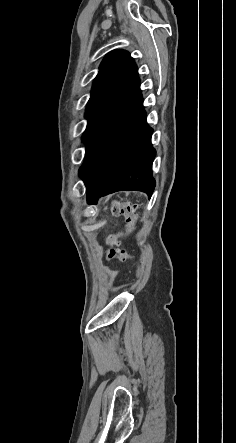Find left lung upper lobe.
Listing matches in <instances>:
<instances>
[{"label":"left lung upper lobe","instance_id":"1","mask_svg":"<svg viewBox=\"0 0 236 443\" xmlns=\"http://www.w3.org/2000/svg\"><path fill=\"white\" fill-rule=\"evenodd\" d=\"M137 77V66L127 51L113 50L104 57L87 103L85 117L88 125L85 132L123 95Z\"/></svg>","mask_w":236,"mask_h":443}]
</instances>
